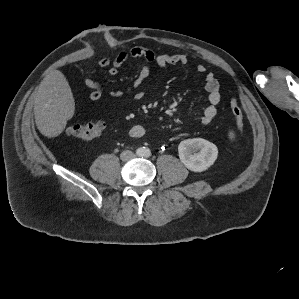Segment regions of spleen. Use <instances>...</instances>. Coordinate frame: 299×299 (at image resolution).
<instances>
[{"mask_svg": "<svg viewBox=\"0 0 299 299\" xmlns=\"http://www.w3.org/2000/svg\"><path fill=\"white\" fill-rule=\"evenodd\" d=\"M230 138H233V134L232 133H230Z\"/></svg>", "mask_w": 299, "mask_h": 299, "instance_id": "spleen-1", "label": "spleen"}]
</instances>
